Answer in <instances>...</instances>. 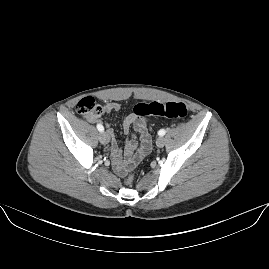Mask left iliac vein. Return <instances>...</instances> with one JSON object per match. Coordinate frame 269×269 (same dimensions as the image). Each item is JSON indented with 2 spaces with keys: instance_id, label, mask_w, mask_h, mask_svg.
Listing matches in <instances>:
<instances>
[{
  "instance_id": "obj_1",
  "label": "left iliac vein",
  "mask_w": 269,
  "mask_h": 269,
  "mask_svg": "<svg viewBox=\"0 0 269 269\" xmlns=\"http://www.w3.org/2000/svg\"><path fill=\"white\" fill-rule=\"evenodd\" d=\"M165 143V140L162 136L158 137L157 140H156V144L158 147H162Z\"/></svg>"
}]
</instances>
